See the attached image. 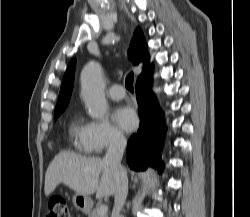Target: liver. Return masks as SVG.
<instances>
[{"label":"liver","instance_id":"6515ba94","mask_svg":"<svg viewBox=\"0 0 250 217\" xmlns=\"http://www.w3.org/2000/svg\"><path fill=\"white\" fill-rule=\"evenodd\" d=\"M59 184L78 194L96 198L109 197L115 191V178L110 167L100 158L61 152L55 156L45 174L44 192L49 196Z\"/></svg>","mask_w":250,"mask_h":217}]
</instances>
